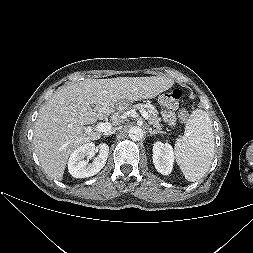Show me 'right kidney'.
I'll use <instances>...</instances> for the list:
<instances>
[{
	"label": "right kidney",
	"instance_id": "right-kidney-1",
	"mask_svg": "<svg viewBox=\"0 0 253 253\" xmlns=\"http://www.w3.org/2000/svg\"><path fill=\"white\" fill-rule=\"evenodd\" d=\"M99 151L98 156L94 159L93 163H88V159L91 158ZM109 153V146L105 143H101L98 147H95L94 143H86L81 145L70 155L68 161L69 173L75 178L91 177L97 174L106 164Z\"/></svg>",
	"mask_w": 253,
	"mask_h": 253
}]
</instances>
